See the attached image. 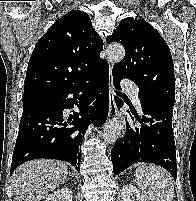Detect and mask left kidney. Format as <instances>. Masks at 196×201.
Here are the masks:
<instances>
[{"instance_id":"5707ae66","label":"left kidney","mask_w":196,"mask_h":201,"mask_svg":"<svg viewBox=\"0 0 196 201\" xmlns=\"http://www.w3.org/2000/svg\"><path fill=\"white\" fill-rule=\"evenodd\" d=\"M135 196L137 201H148V199L140 194V191L131 184H126L122 188L121 197L123 201H133L131 198Z\"/></svg>"}]
</instances>
